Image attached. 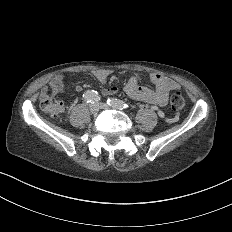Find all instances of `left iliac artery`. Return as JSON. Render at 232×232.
<instances>
[{
  "mask_svg": "<svg viewBox=\"0 0 232 232\" xmlns=\"http://www.w3.org/2000/svg\"><path fill=\"white\" fill-rule=\"evenodd\" d=\"M107 104L111 106L112 108L118 109V110H126L130 108V105L126 102H123L122 100L112 99L109 98L107 100Z\"/></svg>",
  "mask_w": 232,
  "mask_h": 232,
  "instance_id": "left-iliac-artery-1",
  "label": "left iliac artery"
}]
</instances>
